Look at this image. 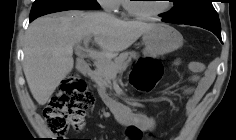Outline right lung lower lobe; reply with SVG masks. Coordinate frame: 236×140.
Wrapping results in <instances>:
<instances>
[{
    "instance_id": "1",
    "label": "right lung lower lobe",
    "mask_w": 236,
    "mask_h": 140,
    "mask_svg": "<svg viewBox=\"0 0 236 140\" xmlns=\"http://www.w3.org/2000/svg\"><path fill=\"white\" fill-rule=\"evenodd\" d=\"M35 18H30L29 21L31 22L32 20H34Z\"/></svg>"
}]
</instances>
